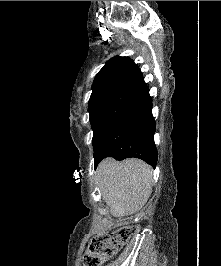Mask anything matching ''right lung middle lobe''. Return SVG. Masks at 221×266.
Segmentation results:
<instances>
[{
  "label": "right lung middle lobe",
  "instance_id": "right-lung-middle-lobe-1",
  "mask_svg": "<svg viewBox=\"0 0 221 266\" xmlns=\"http://www.w3.org/2000/svg\"><path fill=\"white\" fill-rule=\"evenodd\" d=\"M142 89L143 87L139 86H119L101 89L91 94L88 112L93 129L94 152L110 134Z\"/></svg>",
  "mask_w": 221,
  "mask_h": 266
}]
</instances>
